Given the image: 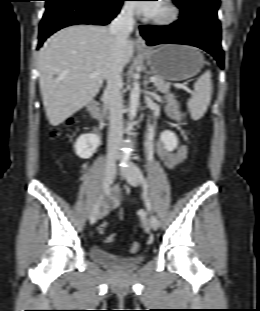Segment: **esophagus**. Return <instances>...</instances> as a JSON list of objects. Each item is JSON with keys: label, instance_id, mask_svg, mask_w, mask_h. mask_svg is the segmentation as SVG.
Here are the masks:
<instances>
[{"label": "esophagus", "instance_id": "1", "mask_svg": "<svg viewBox=\"0 0 260 311\" xmlns=\"http://www.w3.org/2000/svg\"><path fill=\"white\" fill-rule=\"evenodd\" d=\"M135 45L138 47H144L145 46V41H144L143 37L140 35L138 30L136 31Z\"/></svg>", "mask_w": 260, "mask_h": 311}]
</instances>
